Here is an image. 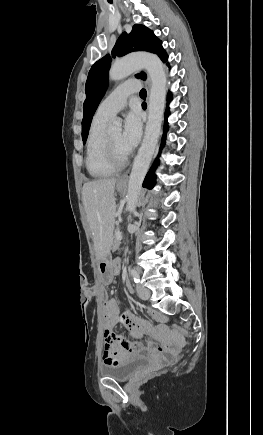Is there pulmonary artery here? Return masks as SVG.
Wrapping results in <instances>:
<instances>
[{
    "mask_svg": "<svg viewBox=\"0 0 263 435\" xmlns=\"http://www.w3.org/2000/svg\"><path fill=\"white\" fill-rule=\"evenodd\" d=\"M140 82L133 80L117 86L99 105L96 116L104 119H111L127 104L130 94L136 93L140 89Z\"/></svg>",
    "mask_w": 263,
    "mask_h": 435,
    "instance_id": "pulmonary-artery-1",
    "label": "pulmonary artery"
}]
</instances>
